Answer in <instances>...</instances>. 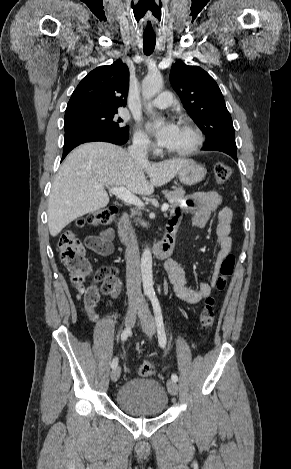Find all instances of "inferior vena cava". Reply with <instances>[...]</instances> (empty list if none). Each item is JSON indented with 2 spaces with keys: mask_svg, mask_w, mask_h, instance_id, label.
I'll list each match as a JSON object with an SVG mask.
<instances>
[{
  "mask_svg": "<svg viewBox=\"0 0 291 469\" xmlns=\"http://www.w3.org/2000/svg\"><path fill=\"white\" fill-rule=\"evenodd\" d=\"M128 153L135 160L147 162L148 147L145 139L137 137L128 147ZM126 285L129 306H144L145 302L141 294V274L139 247L134 231L128 230V243L126 245Z\"/></svg>",
  "mask_w": 291,
  "mask_h": 469,
  "instance_id": "1",
  "label": "inferior vena cava"
}]
</instances>
